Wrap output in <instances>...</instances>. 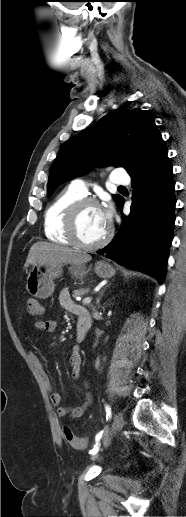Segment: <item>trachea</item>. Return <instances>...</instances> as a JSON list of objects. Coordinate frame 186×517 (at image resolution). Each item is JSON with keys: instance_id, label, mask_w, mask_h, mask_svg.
Wrapping results in <instances>:
<instances>
[{"instance_id": "obj_1", "label": "trachea", "mask_w": 186, "mask_h": 517, "mask_svg": "<svg viewBox=\"0 0 186 517\" xmlns=\"http://www.w3.org/2000/svg\"><path fill=\"white\" fill-rule=\"evenodd\" d=\"M118 188H125L124 186H119Z\"/></svg>"}]
</instances>
